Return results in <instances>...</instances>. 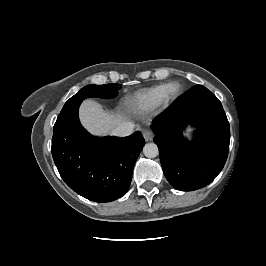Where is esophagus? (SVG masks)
Instances as JSON below:
<instances>
[{"label":"esophagus","mask_w":266,"mask_h":266,"mask_svg":"<svg viewBox=\"0 0 266 266\" xmlns=\"http://www.w3.org/2000/svg\"><path fill=\"white\" fill-rule=\"evenodd\" d=\"M143 137H144L145 141H151L153 139L154 135L150 130H145L143 132Z\"/></svg>","instance_id":"34e87169"}]
</instances>
